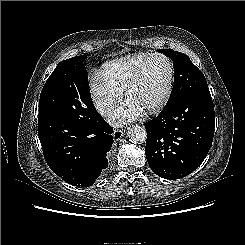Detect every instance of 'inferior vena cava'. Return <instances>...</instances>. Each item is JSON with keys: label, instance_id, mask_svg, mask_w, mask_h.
<instances>
[{"label": "inferior vena cava", "instance_id": "1", "mask_svg": "<svg viewBox=\"0 0 245 245\" xmlns=\"http://www.w3.org/2000/svg\"><path fill=\"white\" fill-rule=\"evenodd\" d=\"M110 105L111 103L105 100L96 102L97 111L102 115L110 108Z\"/></svg>", "mask_w": 245, "mask_h": 245}]
</instances>
